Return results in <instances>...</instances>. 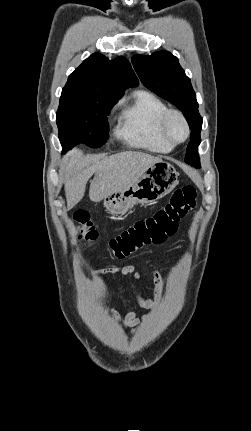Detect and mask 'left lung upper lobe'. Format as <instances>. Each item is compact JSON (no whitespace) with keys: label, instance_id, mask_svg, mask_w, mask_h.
<instances>
[{"label":"left lung upper lobe","instance_id":"5c2ea615","mask_svg":"<svg viewBox=\"0 0 251 431\" xmlns=\"http://www.w3.org/2000/svg\"><path fill=\"white\" fill-rule=\"evenodd\" d=\"M132 64L142 83L149 90L182 111L192 130L185 162L200 167L198 146L201 142L202 117L198 112L196 94L190 79L185 75L178 58L168 51H159L150 56L134 55Z\"/></svg>","mask_w":251,"mask_h":431}]
</instances>
